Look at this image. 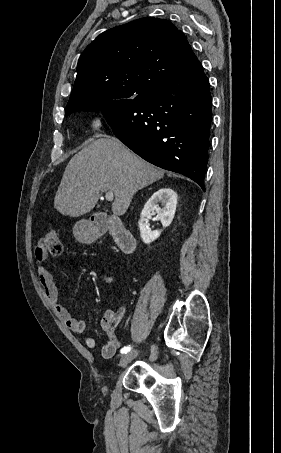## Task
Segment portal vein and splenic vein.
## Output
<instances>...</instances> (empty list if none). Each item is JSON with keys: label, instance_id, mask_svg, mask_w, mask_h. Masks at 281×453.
Segmentation results:
<instances>
[{"label": "portal vein and splenic vein", "instance_id": "1", "mask_svg": "<svg viewBox=\"0 0 281 453\" xmlns=\"http://www.w3.org/2000/svg\"><path fill=\"white\" fill-rule=\"evenodd\" d=\"M105 198H106V200H113L114 192H106Z\"/></svg>", "mask_w": 281, "mask_h": 453}]
</instances>
